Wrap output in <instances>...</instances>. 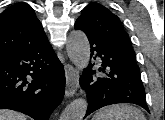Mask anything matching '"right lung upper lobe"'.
<instances>
[{
    "instance_id": "cb5924a9",
    "label": "right lung upper lobe",
    "mask_w": 165,
    "mask_h": 120,
    "mask_svg": "<svg viewBox=\"0 0 165 120\" xmlns=\"http://www.w3.org/2000/svg\"><path fill=\"white\" fill-rule=\"evenodd\" d=\"M32 7L17 3L0 14V55L46 39Z\"/></svg>"
}]
</instances>
